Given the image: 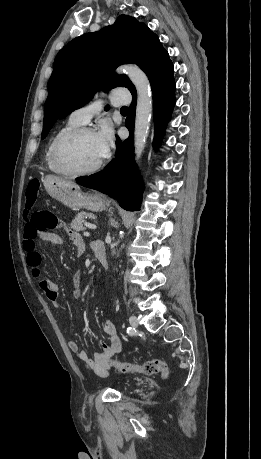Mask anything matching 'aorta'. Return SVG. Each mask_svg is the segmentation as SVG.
<instances>
[{
    "instance_id": "762f6f07",
    "label": "aorta",
    "mask_w": 261,
    "mask_h": 459,
    "mask_svg": "<svg viewBox=\"0 0 261 459\" xmlns=\"http://www.w3.org/2000/svg\"><path fill=\"white\" fill-rule=\"evenodd\" d=\"M118 73H126L137 91V106L134 127V154L138 161L145 149L152 117V94L145 73L136 65H125Z\"/></svg>"
}]
</instances>
